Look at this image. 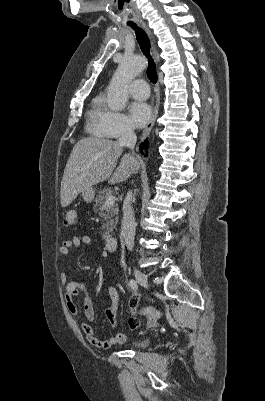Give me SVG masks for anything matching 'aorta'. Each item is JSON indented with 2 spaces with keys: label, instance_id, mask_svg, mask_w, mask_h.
Segmentation results:
<instances>
[{
  "label": "aorta",
  "instance_id": "aorta-1",
  "mask_svg": "<svg viewBox=\"0 0 265 401\" xmlns=\"http://www.w3.org/2000/svg\"><path fill=\"white\" fill-rule=\"evenodd\" d=\"M141 56L132 60H122L108 86V106L111 110H122L128 100V84L143 70Z\"/></svg>",
  "mask_w": 265,
  "mask_h": 401
}]
</instances>
